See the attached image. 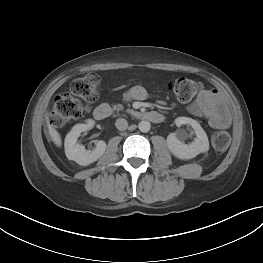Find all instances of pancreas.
<instances>
[{
	"label": "pancreas",
	"instance_id": "cf45deb5",
	"mask_svg": "<svg viewBox=\"0 0 263 263\" xmlns=\"http://www.w3.org/2000/svg\"><path fill=\"white\" fill-rule=\"evenodd\" d=\"M113 109L114 110H122L123 109V106L121 104H117V105H114L113 106ZM129 113H134L133 110H128Z\"/></svg>",
	"mask_w": 263,
	"mask_h": 263
}]
</instances>
